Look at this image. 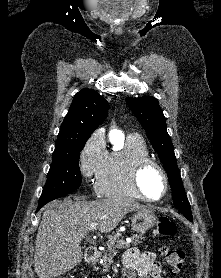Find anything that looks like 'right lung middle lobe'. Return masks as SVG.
<instances>
[{
  "mask_svg": "<svg viewBox=\"0 0 221 278\" xmlns=\"http://www.w3.org/2000/svg\"><path fill=\"white\" fill-rule=\"evenodd\" d=\"M85 143L54 150L47 182L38 206L42 207L49 201L63 197L79 188L81 184L79 158Z\"/></svg>",
  "mask_w": 221,
  "mask_h": 278,
  "instance_id": "1",
  "label": "right lung middle lobe"
}]
</instances>
